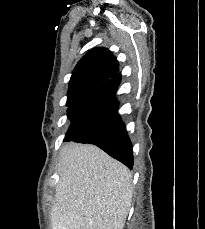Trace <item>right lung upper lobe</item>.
<instances>
[{"instance_id": "cb5924a9", "label": "right lung upper lobe", "mask_w": 205, "mask_h": 229, "mask_svg": "<svg viewBox=\"0 0 205 229\" xmlns=\"http://www.w3.org/2000/svg\"><path fill=\"white\" fill-rule=\"evenodd\" d=\"M119 70L117 59L104 47L91 49L76 65L69 84L67 101H77L111 78Z\"/></svg>"}]
</instances>
